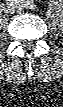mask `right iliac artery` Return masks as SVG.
I'll return each mask as SVG.
<instances>
[{"mask_svg":"<svg viewBox=\"0 0 63 107\" xmlns=\"http://www.w3.org/2000/svg\"><path fill=\"white\" fill-rule=\"evenodd\" d=\"M9 1V3H13V2H11V0H8Z\"/></svg>","mask_w":63,"mask_h":107,"instance_id":"1","label":"right iliac artery"}]
</instances>
